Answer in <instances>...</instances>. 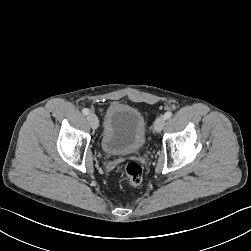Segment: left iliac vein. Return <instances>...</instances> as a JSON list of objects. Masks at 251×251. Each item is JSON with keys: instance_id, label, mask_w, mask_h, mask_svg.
<instances>
[{"instance_id": "4c4485c4", "label": "left iliac vein", "mask_w": 251, "mask_h": 251, "mask_svg": "<svg viewBox=\"0 0 251 251\" xmlns=\"http://www.w3.org/2000/svg\"><path fill=\"white\" fill-rule=\"evenodd\" d=\"M164 124H165V118L164 117H159L156 121H155V124H154V130L155 132H160L163 127H164Z\"/></svg>"}]
</instances>
